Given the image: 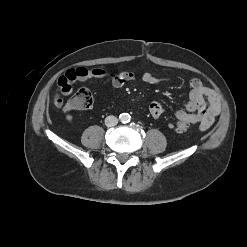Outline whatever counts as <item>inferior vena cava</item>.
<instances>
[{
    "label": "inferior vena cava",
    "mask_w": 247,
    "mask_h": 247,
    "mask_svg": "<svg viewBox=\"0 0 247 247\" xmlns=\"http://www.w3.org/2000/svg\"><path fill=\"white\" fill-rule=\"evenodd\" d=\"M117 123H118V119H117V117H115V116L110 115V116H107V117L105 118V125H106L107 127L116 126Z\"/></svg>",
    "instance_id": "602c4592"
}]
</instances>
